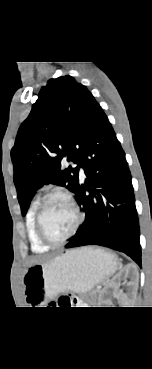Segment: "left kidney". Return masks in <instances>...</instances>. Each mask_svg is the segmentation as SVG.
Here are the masks:
<instances>
[{
	"instance_id": "obj_1",
	"label": "left kidney",
	"mask_w": 152,
	"mask_h": 369,
	"mask_svg": "<svg viewBox=\"0 0 152 369\" xmlns=\"http://www.w3.org/2000/svg\"><path fill=\"white\" fill-rule=\"evenodd\" d=\"M130 278L128 286L132 290H136L138 287L139 274L137 268L132 265H127L123 268L107 285V287L102 290L99 294L98 306L99 307H107L106 305L111 304L110 296H114L117 298H124V295L120 291V283L122 279Z\"/></svg>"
}]
</instances>
